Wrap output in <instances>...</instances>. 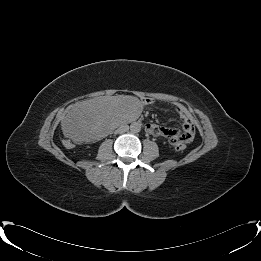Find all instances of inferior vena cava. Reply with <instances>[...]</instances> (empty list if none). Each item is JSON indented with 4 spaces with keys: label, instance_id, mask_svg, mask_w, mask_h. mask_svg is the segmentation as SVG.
Wrapping results in <instances>:
<instances>
[{
    "label": "inferior vena cava",
    "instance_id": "602c4592",
    "mask_svg": "<svg viewBox=\"0 0 261 261\" xmlns=\"http://www.w3.org/2000/svg\"><path fill=\"white\" fill-rule=\"evenodd\" d=\"M122 126H123V129H124V130H128V129H129V126L126 125V124H125V125H122Z\"/></svg>",
    "mask_w": 261,
    "mask_h": 261
}]
</instances>
